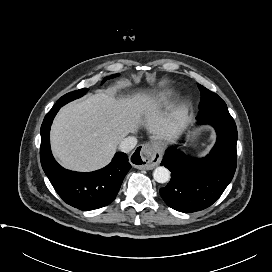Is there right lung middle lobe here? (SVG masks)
Listing matches in <instances>:
<instances>
[{
    "label": "right lung middle lobe",
    "instance_id": "dd1d6c3e",
    "mask_svg": "<svg viewBox=\"0 0 272 272\" xmlns=\"http://www.w3.org/2000/svg\"><path fill=\"white\" fill-rule=\"evenodd\" d=\"M116 76H119V74H114V75H111L109 77H106L102 83H104L106 80L110 79V78H113V77H116ZM88 89L86 88H83V89H80V90H77V91H73V92H70L64 96H62L55 105H65L66 103L74 100V99H77V98H80L82 97L83 95H85L87 93Z\"/></svg>",
    "mask_w": 272,
    "mask_h": 272
}]
</instances>
